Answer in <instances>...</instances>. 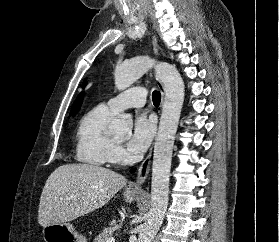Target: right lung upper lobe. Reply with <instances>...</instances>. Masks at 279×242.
<instances>
[{
	"mask_svg": "<svg viewBox=\"0 0 279 242\" xmlns=\"http://www.w3.org/2000/svg\"><path fill=\"white\" fill-rule=\"evenodd\" d=\"M86 82H84L83 84V87L85 86ZM82 97H83V94L81 93L78 98L76 99L75 103H74V108L75 110L77 111L81 105V101H82ZM71 115V114H70Z\"/></svg>",
	"mask_w": 279,
	"mask_h": 242,
	"instance_id": "cb5924a9",
	"label": "right lung upper lobe"
}]
</instances>
